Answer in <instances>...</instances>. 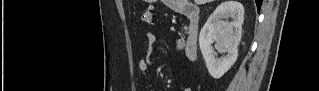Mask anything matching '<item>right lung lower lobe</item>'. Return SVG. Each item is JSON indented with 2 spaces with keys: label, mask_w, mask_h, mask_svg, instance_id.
Masks as SVG:
<instances>
[{
  "label": "right lung lower lobe",
  "mask_w": 319,
  "mask_h": 91,
  "mask_svg": "<svg viewBox=\"0 0 319 91\" xmlns=\"http://www.w3.org/2000/svg\"><path fill=\"white\" fill-rule=\"evenodd\" d=\"M257 8H258V12L260 10L261 4H262V0H255Z\"/></svg>",
  "instance_id": "98d812e1"
}]
</instances>
